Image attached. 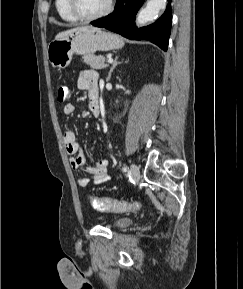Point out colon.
I'll return each instance as SVG.
<instances>
[{
    "instance_id": "obj_1",
    "label": "colon",
    "mask_w": 243,
    "mask_h": 289,
    "mask_svg": "<svg viewBox=\"0 0 243 289\" xmlns=\"http://www.w3.org/2000/svg\"><path fill=\"white\" fill-rule=\"evenodd\" d=\"M69 96L70 90L67 87L63 86L58 89V102H65ZM90 202L96 210L103 212H129L138 210L141 207L140 203L138 202H127L100 197H91Z\"/></svg>"
}]
</instances>
